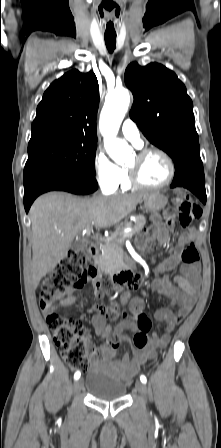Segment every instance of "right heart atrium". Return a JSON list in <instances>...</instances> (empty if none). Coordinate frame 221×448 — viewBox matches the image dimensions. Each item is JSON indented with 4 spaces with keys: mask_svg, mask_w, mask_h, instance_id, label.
<instances>
[{
    "mask_svg": "<svg viewBox=\"0 0 221 448\" xmlns=\"http://www.w3.org/2000/svg\"><path fill=\"white\" fill-rule=\"evenodd\" d=\"M93 167L100 189L106 193L114 192L121 183L123 169L102 151H97Z\"/></svg>",
    "mask_w": 221,
    "mask_h": 448,
    "instance_id": "right-heart-atrium-1",
    "label": "right heart atrium"
}]
</instances>
